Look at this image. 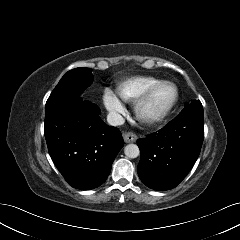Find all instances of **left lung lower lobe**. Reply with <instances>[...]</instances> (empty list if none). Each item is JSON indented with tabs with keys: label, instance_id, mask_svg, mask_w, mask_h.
Segmentation results:
<instances>
[{
	"label": "left lung lower lobe",
	"instance_id": "obj_1",
	"mask_svg": "<svg viewBox=\"0 0 240 240\" xmlns=\"http://www.w3.org/2000/svg\"><path fill=\"white\" fill-rule=\"evenodd\" d=\"M203 139L202 104H188L164 128L137 140L141 156L139 178L154 190L176 187L196 162Z\"/></svg>",
	"mask_w": 240,
	"mask_h": 240
}]
</instances>
